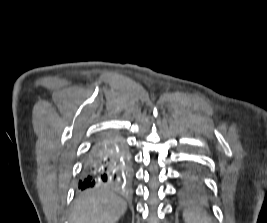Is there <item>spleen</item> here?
Returning a JSON list of instances; mask_svg holds the SVG:
<instances>
[{
    "label": "spleen",
    "mask_w": 267,
    "mask_h": 223,
    "mask_svg": "<svg viewBox=\"0 0 267 223\" xmlns=\"http://www.w3.org/2000/svg\"><path fill=\"white\" fill-rule=\"evenodd\" d=\"M185 223H211L208 216L201 209L186 210L183 213Z\"/></svg>",
    "instance_id": "1"
}]
</instances>
